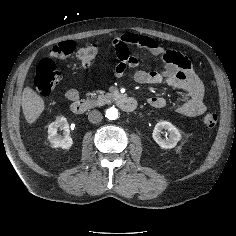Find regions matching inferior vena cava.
I'll use <instances>...</instances> for the list:
<instances>
[{"label": "inferior vena cava", "mask_w": 236, "mask_h": 236, "mask_svg": "<svg viewBox=\"0 0 236 236\" xmlns=\"http://www.w3.org/2000/svg\"><path fill=\"white\" fill-rule=\"evenodd\" d=\"M88 119L91 123H99L103 119L102 113L98 110L89 112Z\"/></svg>", "instance_id": "inferior-vena-cava-1"}]
</instances>
